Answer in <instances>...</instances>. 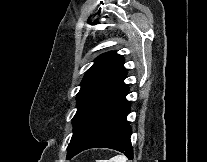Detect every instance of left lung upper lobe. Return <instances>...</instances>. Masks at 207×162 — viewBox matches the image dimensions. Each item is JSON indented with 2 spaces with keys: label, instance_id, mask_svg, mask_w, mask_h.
I'll list each match as a JSON object with an SVG mask.
<instances>
[{
  "label": "left lung upper lobe",
  "instance_id": "1",
  "mask_svg": "<svg viewBox=\"0 0 207 162\" xmlns=\"http://www.w3.org/2000/svg\"><path fill=\"white\" fill-rule=\"evenodd\" d=\"M123 64L122 56L108 52L99 56L85 74L77 95L78 110L73 118V136L68 148L97 108L125 85Z\"/></svg>",
  "mask_w": 207,
  "mask_h": 162
}]
</instances>
